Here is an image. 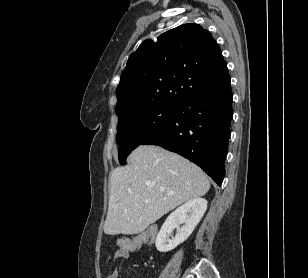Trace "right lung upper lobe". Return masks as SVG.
<instances>
[{
    "mask_svg": "<svg viewBox=\"0 0 308 278\" xmlns=\"http://www.w3.org/2000/svg\"><path fill=\"white\" fill-rule=\"evenodd\" d=\"M229 77L212 35L197 24H184L145 40L127 61L116 90L119 121L155 105H179L213 90Z\"/></svg>",
    "mask_w": 308,
    "mask_h": 278,
    "instance_id": "right-lung-upper-lobe-1",
    "label": "right lung upper lobe"
}]
</instances>
